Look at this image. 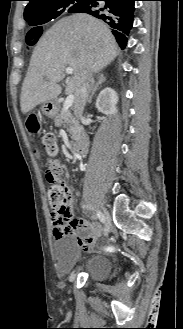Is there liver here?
Returning <instances> with one entry per match:
<instances>
[{
	"label": "liver",
	"instance_id": "liver-1",
	"mask_svg": "<svg viewBox=\"0 0 183 329\" xmlns=\"http://www.w3.org/2000/svg\"><path fill=\"white\" fill-rule=\"evenodd\" d=\"M118 45L108 26L87 14L57 21L38 41L23 81L20 105L23 114L56 99L67 67L74 69L66 93L78 91L84 72L98 73L113 61Z\"/></svg>",
	"mask_w": 183,
	"mask_h": 329
}]
</instances>
